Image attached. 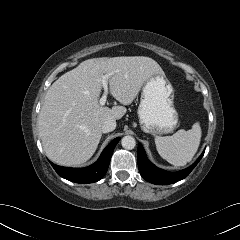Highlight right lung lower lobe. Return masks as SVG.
<instances>
[{
  "label": "right lung lower lobe",
  "mask_w": 240,
  "mask_h": 240,
  "mask_svg": "<svg viewBox=\"0 0 240 240\" xmlns=\"http://www.w3.org/2000/svg\"><path fill=\"white\" fill-rule=\"evenodd\" d=\"M119 140L120 137L112 140L103 150L97 162L86 168L75 169L70 167H61L53 164L52 162L50 163L59 176L69 181L83 184L93 183L100 180L107 172L113 150Z\"/></svg>",
  "instance_id": "1"
}]
</instances>
